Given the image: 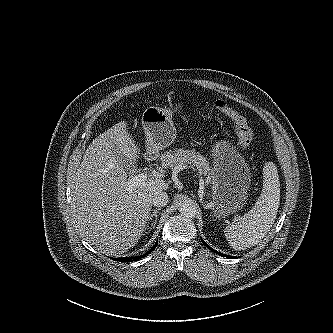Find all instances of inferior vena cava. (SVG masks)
<instances>
[{
	"label": "inferior vena cava",
	"instance_id": "obj_1",
	"mask_svg": "<svg viewBox=\"0 0 333 333\" xmlns=\"http://www.w3.org/2000/svg\"><path fill=\"white\" fill-rule=\"evenodd\" d=\"M169 202V197L166 192L158 191L152 196V203L156 207H163Z\"/></svg>",
	"mask_w": 333,
	"mask_h": 333
}]
</instances>
